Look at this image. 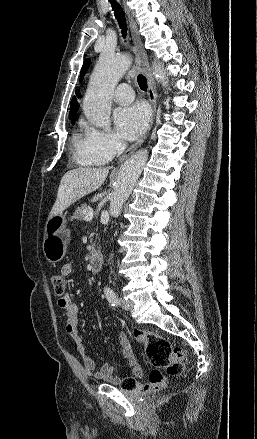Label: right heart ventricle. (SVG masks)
Instances as JSON below:
<instances>
[{"instance_id":"right-heart-ventricle-1","label":"right heart ventricle","mask_w":257,"mask_h":439,"mask_svg":"<svg viewBox=\"0 0 257 439\" xmlns=\"http://www.w3.org/2000/svg\"><path fill=\"white\" fill-rule=\"evenodd\" d=\"M72 146L75 153L82 158L83 162L87 165H97L103 162H99L93 159H89L84 156L85 152V136L83 133H75L72 138Z\"/></svg>"}]
</instances>
